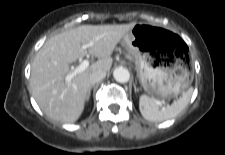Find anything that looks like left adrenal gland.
<instances>
[{"mask_svg":"<svg viewBox=\"0 0 225 155\" xmlns=\"http://www.w3.org/2000/svg\"><path fill=\"white\" fill-rule=\"evenodd\" d=\"M134 90H135V92H137L138 91V89L136 88V85L134 84Z\"/></svg>","mask_w":225,"mask_h":155,"instance_id":"obj_1","label":"left adrenal gland"}]
</instances>
